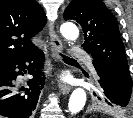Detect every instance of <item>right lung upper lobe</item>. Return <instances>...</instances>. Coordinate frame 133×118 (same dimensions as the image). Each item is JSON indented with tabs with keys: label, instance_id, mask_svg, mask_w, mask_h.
Wrapping results in <instances>:
<instances>
[{
	"label": "right lung upper lobe",
	"instance_id": "obj_1",
	"mask_svg": "<svg viewBox=\"0 0 133 118\" xmlns=\"http://www.w3.org/2000/svg\"><path fill=\"white\" fill-rule=\"evenodd\" d=\"M46 24L36 0H0V68L38 49L31 41Z\"/></svg>",
	"mask_w": 133,
	"mask_h": 118
}]
</instances>
